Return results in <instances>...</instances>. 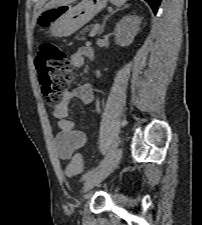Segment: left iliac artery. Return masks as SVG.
I'll use <instances>...</instances> for the list:
<instances>
[{
	"instance_id": "obj_1",
	"label": "left iliac artery",
	"mask_w": 202,
	"mask_h": 225,
	"mask_svg": "<svg viewBox=\"0 0 202 225\" xmlns=\"http://www.w3.org/2000/svg\"><path fill=\"white\" fill-rule=\"evenodd\" d=\"M118 147V142H114L111 149L109 150L108 154L105 156V158L100 162V164L93 168L90 172L83 175L82 180L87 181L90 178L96 176L101 169L106 165V163L110 160L112 154L115 152L116 148Z\"/></svg>"
}]
</instances>
